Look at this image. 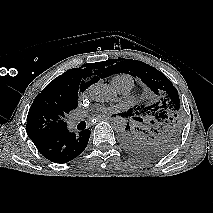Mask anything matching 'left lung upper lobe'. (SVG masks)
I'll list each match as a JSON object with an SVG mask.
<instances>
[{
    "label": "left lung upper lobe",
    "mask_w": 213,
    "mask_h": 213,
    "mask_svg": "<svg viewBox=\"0 0 213 213\" xmlns=\"http://www.w3.org/2000/svg\"><path fill=\"white\" fill-rule=\"evenodd\" d=\"M100 69L106 77L117 73L138 77L156 97L149 106L129 110V115L139 124L133 129L127 124L122 136L124 146L145 159L159 158L170 152L179 141L184 122L178 91L172 82L156 68L138 60L110 59L102 62Z\"/></svg>",
    "instance_id": "obj_1"
}]
</instances>
